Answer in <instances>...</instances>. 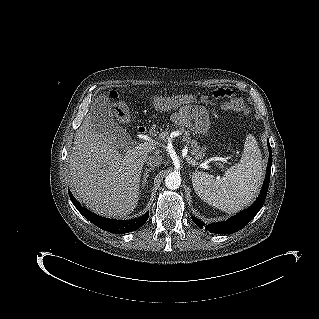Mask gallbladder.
<instances>
[{"label": "gallbladder", "instance_id": "obj_1", "mask_svg": "<svg viewBox=\"0 0 319 319\" xmlns=\"http://www.w3.org/2000/svg\"><path fill=\"white\" fill-rule=\"evenodd\" d=\"M92 123L95 130L107 140L128 137L126 130L113 117V110L106 95L101 94L91 106Z\"/></svg>", "mask_w": 319, "mask_h": 319}]
</instances>
